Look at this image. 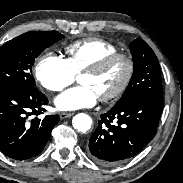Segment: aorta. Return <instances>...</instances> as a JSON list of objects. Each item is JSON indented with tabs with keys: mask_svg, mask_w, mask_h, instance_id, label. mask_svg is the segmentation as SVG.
<instances>
[{
	"mask_svg": "<svg viewBox=\"0 0 183 183\" xmlns=\"http://www.w3.org/2000/svg\"><path fill=\"white\" fill-rule=\"evenodd\" d=\"M73 127L80 132L88 131L92 125V119L85 113H79L73 117Z\"/></svg>",
	"mask_w": 183,
	"mask_h": 183,
	"instance_id": "1",
	"label": "aorta"
}]
</instances>
